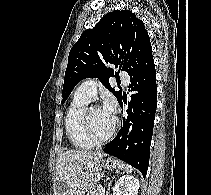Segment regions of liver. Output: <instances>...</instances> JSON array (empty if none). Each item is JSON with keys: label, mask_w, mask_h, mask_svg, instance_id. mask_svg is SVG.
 Listing matches in <instances>:
<instances>
[{"label": "liver", "mask_w": 211, "mask_h": 195, "mask_svg": "<svg viewBox=\"0 0 211 195\" xmlns=\"http://www.w3.org/2000/svg\"><path fill=\"white\" fill-rule=\"evenodd\" d=\"M104 153L87 150H66L56 161V180L66 189L58 187L56 195H79L90 188L88 176L99 165Z\"/></svg>", "instance_id": "obj_1"}]
</instances>
